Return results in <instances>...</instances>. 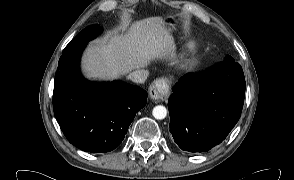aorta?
<instances>
[{
  "label": "aorta",
  "instance_id": "1",
  "mask_svg": "<svg viewBox=\"0 0 294 180\" xmlns=\"http://www.w3.org/2000/svg\"><path fill=\"white\" fill-rule=\"evenodd\" d=\"M152 115L155 119L162 120L167 116V109L162 105L153 108Z\"/></svg>",
  "mask_w": 294,
  "mask_h": 180
}]
</instances>
